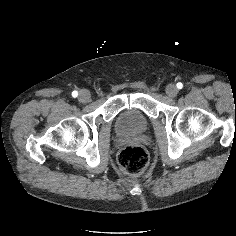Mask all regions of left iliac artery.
Listing matches in <instances>:
<instances>
[{
	"instance_id": "obj_1",
	"label": "left iliac artery",
	"mask_w": 236,
	"mask_h": 236,
	"mask_svg": "<svg viewBox=\"0 0 236 236\" xmlns=\"http://www.w3.org/2000/svg\"><path fill=\"white\" fill-rule=\"evenodd\" d=\"M176 86H177L178 89H182L183 88V84L181 82L177 83Z\"/></svg>"
}]
</instances>
